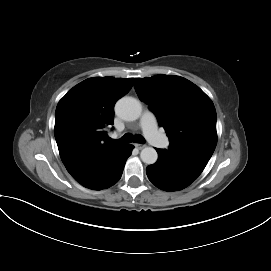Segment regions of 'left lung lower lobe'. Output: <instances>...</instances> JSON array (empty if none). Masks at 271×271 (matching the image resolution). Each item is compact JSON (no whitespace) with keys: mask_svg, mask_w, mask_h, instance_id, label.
Segmentation results:
<instances>
[{"mask_svg":"<svg viewBox=\"0 0 271 271\" xmlns=\"http://www.w3.org/2000/svg\"><path fill=\"white\" fill-rule=\"evenodd\" d=\"M158 160L146 169L149 180L165 191H177L190 185L203 171L208 160L185 153L156 149Z\"/></svg>","mask_w":271,"mask_h":271,"instance_id":"obj_1","label":"left lung lower lobe"}]
</instances>
